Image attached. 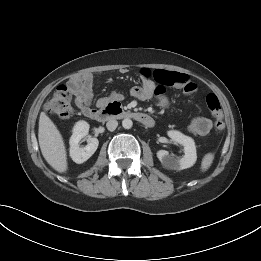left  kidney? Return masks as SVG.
Listing matches in <instances>:
<instances>
[{"label": "left kidney", "instance_id": "5707ae66", "mask_svg": "<svg viewBox=\"0 0 261 261\" xmlns=\"http://www.w3.org/2000/svg\"><path fill=\"white\" fill-rule=\"evenodd\" d=\"M168 136L176 143H179L184 147L185 155L181 159H176L170 155L166 150H159L157 157L160 162L168 169L183 170L192 167L196 160V147L195 142L191 137L182 134L179 131L170 130Z\"/></svg>", "mask_w": 261, "mask_h": 261}]
</instances>
